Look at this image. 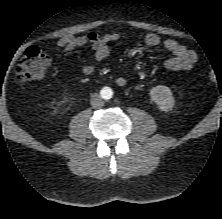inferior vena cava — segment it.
<instances>
[{
	"label": "inferior vena cava",
	"mask_w": 222,
	"mask_h": 219,
	"mask_svg": "<svg viewBox=\"0 0 222 219\" xmlns=\"http://www.w3.org/2000/svg\"><path fill=\"white\" fill-rule=\"evenodd\" d=\"M93 108H101L104 105L103 99L98 94H94L90 101Z\"/></svg>",
	"instance_id": "602c4592"
}]
</instances>
